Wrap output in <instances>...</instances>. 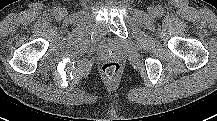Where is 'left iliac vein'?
<instances>
[{
  "label": "left iliac vein",
  "instance_id": "1",
  "mask_svg": "<svg viewBox=\"0 0 217 121\" xmlns=\"http://www.w3.org/2000/svg\"><path fill=\"white\" fill-rule=\"evenodd\" d=\"M150 14L151 15H154L155 14V10L152 8V9H150Z\"/></svg>",
  "mask_w": 217,
  "mask_h": 121
}]
</instances>
